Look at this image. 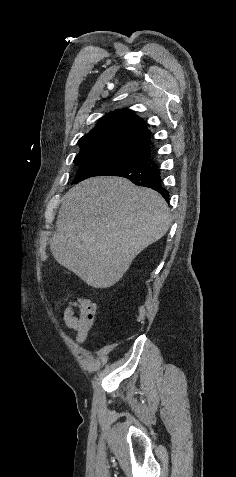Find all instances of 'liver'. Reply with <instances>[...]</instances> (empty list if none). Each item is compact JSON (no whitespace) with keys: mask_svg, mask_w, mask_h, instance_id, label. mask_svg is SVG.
<instances>
[{"mask_svg":"<svg viewBox=\"0 0 236 477\" xmlns=\"http://www.w3.org/2000/svg\"><path fill=\"white\" fill-rule=\"evenodd\" d=\"M171 222L156 191L121 177H94L64 195L49 246L60 265L104 289L116 284Z\"/></svg>","mask_w":236,"mask_h":477,"instance_id":"1","label":"liver"}]
</instances>
